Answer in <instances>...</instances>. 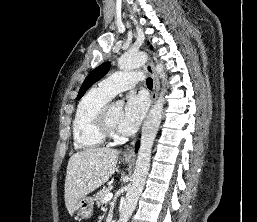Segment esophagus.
<instances>
[{"label":"esophagus","mask_w":257,"mask_h":222,"mask_svg":"<svg viewBox=\"0 0 257 222\" xmlns=\"http://www.w3.org/2000/svg\"><path fill=\"white\" fill-rule=\"evenodd\" d=\"M145 70L152 76V79H153V90L151 94V101H152V104H154L156 101L157 93L159 89L158 77L154 71V67L151 62L146 63ZM123 156L128 158L134 157V142L124 150Z\"/></svg>","instance_id":"34e87169"}]
</instances>
